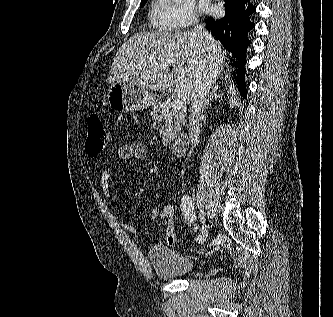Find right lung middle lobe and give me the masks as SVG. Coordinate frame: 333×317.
Returning <instances> with one entry per match:
<instances>
[{"instance_id":"obj_1","label":"right lung middle lobe","mask_w":333,"mask_h":317,"mask_svg":"<svg viewBox=\"0 0 333 317\" xmlns=\"http://www.w3.org/2000/svg\"><path fill=\"white\" fill-rule=\"evenodd\" d=\"M147 0L141 2V6H144Z\"/></svg>"}]
</instances>
